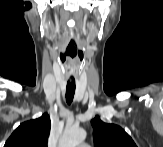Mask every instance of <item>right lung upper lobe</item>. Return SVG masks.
<instances>
[{
    "label": "right lung upper lobe",
    "mask_w": 163,
    "mask_h": 147,
    "mask_svg": "<svg viewBox=\"0 0 163 147\" xmlns=\"http://www.w3.org/2000/svg\"><path fill=\"white\" fill-rule=\"evenodd\" d=\"M50 128V117L45 113L37 119L21 123L4 147H47Z\"/></svg>",
    "instance_id": "cb5924a9"
}]
</instances>
